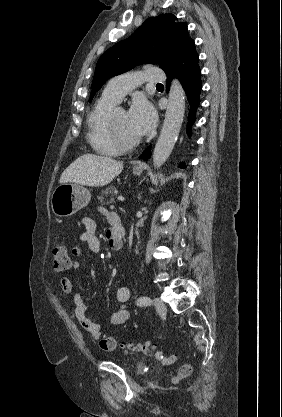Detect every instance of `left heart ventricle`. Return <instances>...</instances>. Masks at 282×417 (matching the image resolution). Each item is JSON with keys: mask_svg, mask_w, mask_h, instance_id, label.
Here are the masks:
<instances>
[{"mask_svg": "<svg viewBox=\"0 0 282 417\" xmlns=\"http://www.w3.org/2000/svg\"><path fill=\"white\" fill-rule=\"evenodd\" d=\"M116 126L120 135L126 140H132L138 137V135L131 129L128 122V114L124 110H119L115 118ZM105 129L110 133V126L108 122L105 123Z\"/></svg>", "mask_w": 282, "mask_h": 417, "instance_id": "1", "label": "left heart ventricle"}]
</instances>
